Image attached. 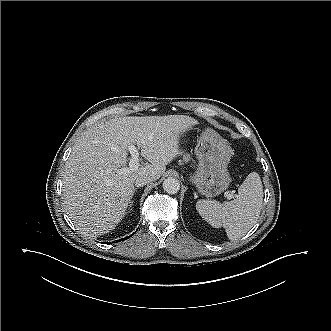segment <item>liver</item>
Returning a JSON list of instances; mask_svg holds the SVG:
<instances>
[{
    "mask_svg": "<svg viewBox=\"0 0 331 331\" xmlns=\"http://www.w3.org/2000/svg\"><path fill=\"white\" fill-rule=\"evenodd\" d=\"M195 123L182 115L124 117L86 131L63 175L68 214L79 230L87 236L113 230L125 216L136 178L159 179L179 154L180 133ZM131 145L151 164L130 170L126 162Z\"/></svg>",
    "mask_w": 331,
    "mask_h": 331,
    "instance_id": "obj_1",
    "label": "liver"
}]
</instances>
